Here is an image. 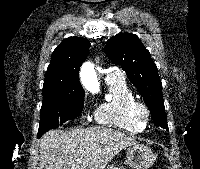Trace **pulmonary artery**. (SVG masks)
Wrapping results in <instances>:
<instances>
[{
  "label": "pulmonary artery",
  "instance_id": "obj_1",
  "mask_svg": "<svg viewBox=\"0 0 200 169\" xmlns=\"http://www.w3.org/2000/svg\"><path fill=\"white\" fill-rule=\"evenodd\" d=\"M116 76H119V73H110L106 76L105 79H110V78H113V77H116Z\"/></svg>",
  "mask_w": 200,
  "mask_h": 169
}]
</instances>
